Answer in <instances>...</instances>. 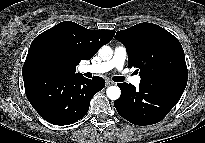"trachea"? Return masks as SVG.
Listing matches in <instances>:
<instances>
[{
	"label": "trachea",
	"mask_w": 205,
	"mask_h": 143,
	"mask_svg": "<svg viewBox=\"0 0 205 143\" xmlns=\"http://www.w3.org/2000/svg\"><path fill=\"white\" fill-rule=\"evenodd\" d=\"M112 80L115 81V82H122V81H124V77H122V76H114L112 78Z\"/></svg>",
	"instance_id": "trachea-1"
}]
</instances>
